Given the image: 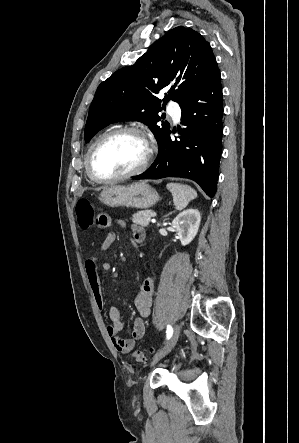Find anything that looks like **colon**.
Wrapping results in <instances>:
<instances>
[{"mask_svg":"<svg viewBox=\"0 0 299 443\" xmlns=\"http://www.w3.org/2000/svg\"><path fill=\"white\" fill-rule=\"evenodd\" d=\"M76 214L78 217V223L80 228L89 229L94 225H97V217L95 210L90 201L86 199H80L76 205ZM132 357L137 362H145V353L141 350H135L132 352Z\"/></svg>","mask_w":299,"mask_h":443,"instance_id":"obj_1","label":"colon"}]
</instances>
